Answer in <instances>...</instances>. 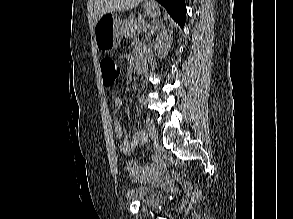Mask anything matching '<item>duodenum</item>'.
<instances>
[{
	"mask_svg": "<svg viewBox=\"0 0 293 219\" xmlns=\"http://www.w3.org/2000/svg\"><path fill=\"white\" fill-rule=\"evenodd\" d=\"M135 70L137 73L142 74L146 71V65L142 60H138L135 64Z\"/></svg>",
	"mask_w": 293,
	"mask_h": 219,
	"instance_id": "1",
	"label": "duodenum"
}]
</instances>
